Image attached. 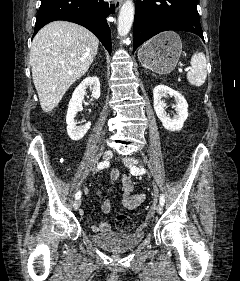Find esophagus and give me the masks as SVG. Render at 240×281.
Segmentation results:
<instances>
[{
  "instance_id": "1",
  "label": "esophagus",
  "mask_w": 240,
  "mask_h": 281,
  "mask_svg": "<svg viewBox=\"0 0 240 281\" xmlns=\"http://www.w3.org/2000/svg\"><path fill=\"white\" fill-rule=\"evenodd\" d=\"M123 0H114L116 10H119L122 6Z\"/></svg>"
}]
</instances>
